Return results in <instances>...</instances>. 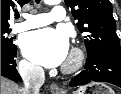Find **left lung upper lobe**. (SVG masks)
Listing matches in <instances>:
<instances>
[{
	"label": "left lung upper lobe",
	"mask_w": 121,
	"mask_h": 94,
	"mask_svg": "<svg viewBox=\"0 0 121 94\" xmlns=\"http://www.w3.org/2000/svg\"><path fill=\"white\" fill-rule=\"evenodd\" d=\"M65 4L78 20L80 32L87 34L84 42L88 54L121 53L109 0H65Z\"/></svg>",
	"instance_id": "5c2ea615"
}]
</instances>
